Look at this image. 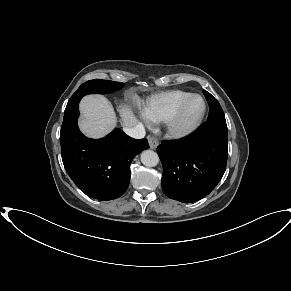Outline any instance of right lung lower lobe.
<instances>
[{"instance_id":"1","label":"right lung lower lobe","mask_w":291,"mask_h":291,"mask_svg":"<svg viewBox=\"0 0 291 291\" xmlns=\"http://www.w3.org/2000/svg\"><path fill=\"white\" fill-rule=\"evenodd\" d=\"M78 115H64L60 132L64 167L89 197L101 201L116 199L129 185L133 158L149 148L148 142L133 139L119 129L105 138L89 139L77 126Z\"/></svg>"}]
</instances>
